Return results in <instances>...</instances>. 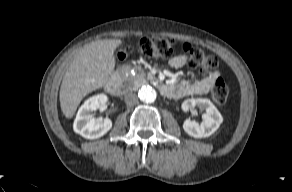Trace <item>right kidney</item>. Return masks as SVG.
<instances>
[{
	"label": "right kidney",
	"mask_w": 292,
	"mask_h": 192,
	"mask_svg": "<svg viewBox=\"0 0 292 192\" xmlns=\"http://www.w3.org/2000/svg\"><path fill=\"white\" fill-rule=\"evenodd\" d=\"M108 97L105 94H99L87 99L79 108L75 118L73 129L86 139H96L105 135L112 127V121L109 118H94L91 112L100 107H105Z\"/></svg>",
	"instance_id": "ca27d5eb"
}]
</instances>
